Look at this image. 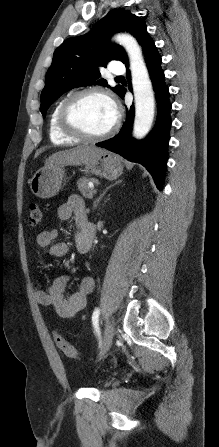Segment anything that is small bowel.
<instances>
[{
    "label": "small bowel",
    "mask_w": 219,
    "mask_h": 447,
    "mask_svg": "<svg viewBox=\"0 0 219 447\" xmlns=\"http://www.w3.org/2000/svg\"><path fill=\"white\" fill-rule=\"evenodd\" d=\"M85 204L80 195H71L68 201L62 204L57 211V217L61 221L74 219L77 227L75 248L81 252L83 243L82 222L85 218ZM58 231L56 229L44 230L38 234L36 243L40 248H48L49 255L55 258H63L69 252V245L66 242H56ZM70 274H64L54 279L46 288L34 285V295L38 304L44 308L53 309L62 318H73L81 312L87 305L88 295L94 288L91 277L81 280L79 289L70 295H66L67 286L71 280Z\"/></svg>",
    "instance_id": "1"
}]
</instances>
